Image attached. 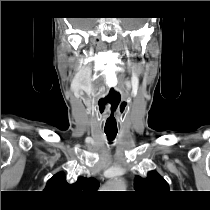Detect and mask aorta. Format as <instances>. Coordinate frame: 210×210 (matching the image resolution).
<instances>
[{
  "label": "aorta",
  "mask_w": 210,
  "mask_h": 210,
  "mask_svg": "<svg viewBox=\"0 0 210 210\" xmlns=\"http://www.w3.org/2000/svg\"><path fill=\"white\" fill-rule=\"evenodd\" d=\"M108 189H124V182L122 181V179H114L112 182H110L107 186ZM114 191V190H113ZM120 191V190H119Z\"/></svg>",
  "instance_id": "1"
}]
</instances>
